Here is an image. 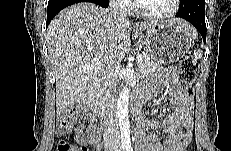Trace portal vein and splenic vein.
Wrapping results in <instances>:
<instances>
[{
  "label": "portal vein and splenic vein",
  "instance_id": "obj_1",
  "mask_svg": "<svg viewBox=\"0 0 231 151\" xmlns=\"http://www.w3.org/2000/svg\"><path fill=\"white\" fill-rule=\"evenodd\" d=\"M143 58H144V55H142V54L137 55V61H142ZM96 64H98V62L96 60H94V61L91 62L90 65H96Z\"/></svg>",
  "mask_w": 231,
  "mask_h": 151
}]
</instances>
